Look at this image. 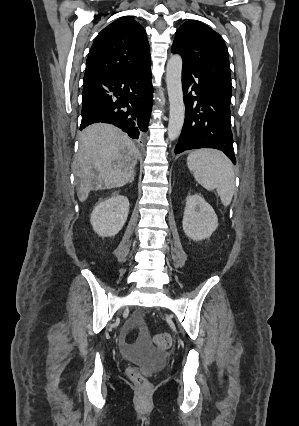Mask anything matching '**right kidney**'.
I'll use <instances>...</instances> for the list:
<instances>
[{
	"mask_svg": "<svg viewBox=\"0 0 299 426\" xmlns=\"http://www.w3.org/2000/svg\"><path fill=\"white\" fill-rule=\"evenodd\" d=\"M128 213V198L120 194H113L95 206L90 223L99 236H115L123 228Z\"/></svg>",
	"mask_w": 299,
	"mask_h": 426,
	"instance_id": "1",
	"label": "right kidney"
}]
</instances>
